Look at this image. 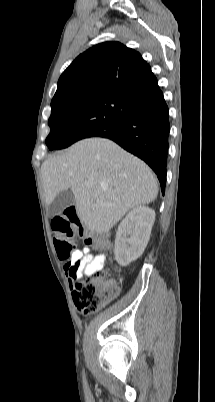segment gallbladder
I'll return each instance as SVG.
<instances>
[{
	"instance_id": "obj_1",
	"label": "gallbladder",
	"mask_w": 215,
	"mask_h": 402,
	"mask_svg": "<svg viewBox=\"0 0 215 402\" xmlns=\"http://www.w3.org/2000/svg\"><path fill=\"white\" fill-rule=\"evenodd\" d=\"M75 204V198L71 191L65 190L57 194L48 206L49 215H56L67 207Z\"/></svg>"
}]
</instances>
